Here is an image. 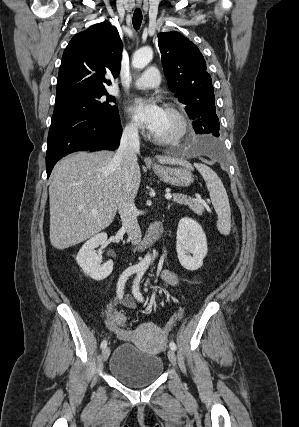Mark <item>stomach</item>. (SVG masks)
<instances>
[{"label": "stomach", "instance_id": "1", "mask_svg": "<svg viewBox=\"0 0 299 427\" xmlns=\"http://www.w3.org/2000/svg\"><path fill=\"white\" fill-rule=\"evenodd\" d=\"M155 174L165 183L177 187H187L193 182L191 169L187 167L154 166Z\"/></svg>", "mask_w": 299, "mask_h": 427}]
</instances>
